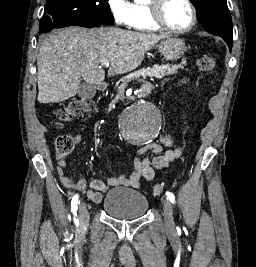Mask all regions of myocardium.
<instances>
[{
  "instance_id": "1",
  "label": "myocardium",
  "mask_w": 256,
  "mask_h": 267,
  "mask_svg": "<svg viewBox=\"0 0 256 267\" xmlns=\"http://www.w3.org/2000/svg\"><path fill=\"white\" fill-rule=\"evenodd\" d=\"M167 1L169 0H151V11L149 13L148 19L144 21L151 24L152 28L145 32L160 30L171 34L182 35L193 30L197 23V14L192 3L189 0H180L184 2L190 9L191 23L188 27L179 30L169 26L162 18L164 3Z\"/></svg>"
}]
</instances>
